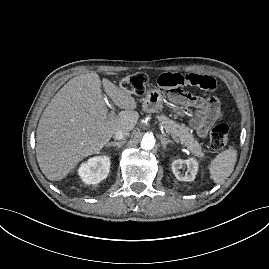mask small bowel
Segmentation results:
<instances>
[{"mask_svg": "<svg viewBox=\"0 0 269 269\" xmlns=\"http://www.w3.org/2000/svg\"><path fill=\"white\" fill-rule=\"evenodd\" d=\"M157 83L161 87L172 89L182 86H193L201 88V93L205 89L215 90V81L207 74H186L182 75L175 72L161 74L157 78ZM203 98V97H202ZM173 99L176 102L192 105L198 109V114L193 120V126L200 137H205L209 128L219 121L223 116L222 108L218 103L201 99L199 97L175 91Z\"/></svg>", "mask_w": 269, "mask_h": 269, "instance_id": "1", "label": "small bowel"}]
</instances>
